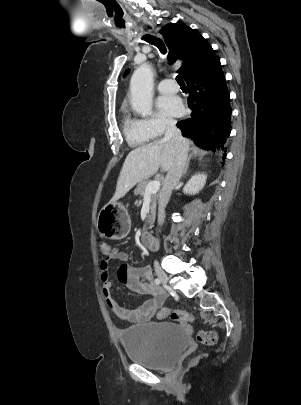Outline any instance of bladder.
<instances>
[{"label": "bladder", "instance_id": "bladder-1", "mask_svg": "<svg viewBox=\"0 0 301 405\" xmlns=\"http://www.w3.org/2000/svg\"><path fill=\"white\" fill-rule=\"evenodd\" d=\"M119 338L129 360L153 370L171 368L189 344L185 327L169 322L131 326Z\"/></svg>", "mask_w": 301, "mask_h": 405}]
</instances>
